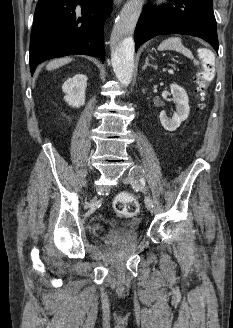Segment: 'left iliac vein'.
<instances>
[{
	"label": "left iliac vein",
	"mask_w": 233,
	"mask_h": 328,
	"mask_svg": "<svg viewBox=\"0 0 233 328\" xmlns=\"http://www.w3.org/2000/svg\"><path fill=\"white\" fill-rule=\"evenodd\" d=\"M141 177V171L138 167H133L130 172L129 175L123 179L124 183L126 184H131V185H135L136 183H138V180ZM148 210L153 213V207L150 205H147Z\"/></svg>",
	"instance_id": "obj_1"
}]
</instances>
